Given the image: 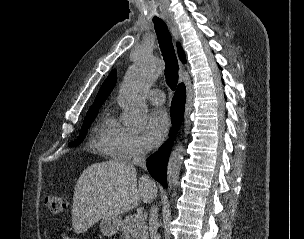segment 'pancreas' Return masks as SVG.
I'll return each instance as SVG.
<instances>
[{"label":"pancreas","mask_w":304,"mask_h":239,"mask_svg":"<svg viewBox=\"0 0 304 239\" xmlns=\"http://www.w3.org/2000/svg\"><path fill=\"white\" fill-rule=\"evenodd\" d=\"M148 226L142 215H131L122 221L121 232L124 239H148Z\"/></svg>","instance_id":"pancreas-1"}]
</instances>
